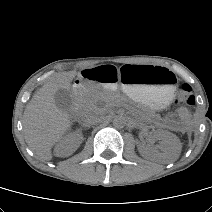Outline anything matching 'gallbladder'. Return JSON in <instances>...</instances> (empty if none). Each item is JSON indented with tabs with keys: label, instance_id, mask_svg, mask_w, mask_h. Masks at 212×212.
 <instances>
[{
	"label": "gallbladder",
	"instance_id": "obj_1",
	"mask_svg": "<svg viewBox=\"0 0 212 212\" xmlns=\"http://www.w3.org/2000/svg\"><path fill=\"white\" fill-rule=\"evenodd\" d=\"M56 106L66 112L71 110L73 95L69 89H59L54 95Z\"/></svg>",
	"mask_w": 212,
	"mask_h": 212
}]
</instances>
